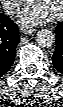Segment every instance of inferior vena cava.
Returning a JSON list of instances; mask_svg holds the SVG:
<instances>
[{"label": "inferior vena cava", "mask_w": 63, "mask_h": 107, "mask_svg": "<svg viewBox=\"0 0 63 107\" xmlns=\"http://www.w3.org/2000/svg\"><path fill=\"white\" fill-rule=\"evenodd\" d=\"M3 9L7 15H12L17 9V5L14 3L5 2L3 4Z\"/></svg>", "instance_id": "inferior-vena-cava-1"}]
</instances>
